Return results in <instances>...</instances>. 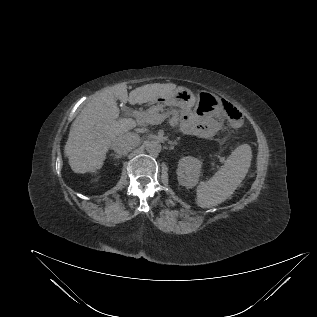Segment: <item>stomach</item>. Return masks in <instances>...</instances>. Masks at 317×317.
Instances as JSON below:
<instances>
[{
    "label": "stomach",
    "mask_w": 317,
    "mask_h": 317,
    "mask_svg": "<svg viewBox=\"0 0 317 317\" xmlns=\"http://www.w3.org/2000/svg\"><path fill=\"white\" fill-rule=\"evenodd\" d=\"M155 102L163 103L167 106H176L183 110L194 108L205 116H220L221 99L209 91H200L195 96L194 93L185 87L176 88L170 95L158 98Z\"/></svg>",
    "instance_id": "0dacf381"
}]
</instances>
